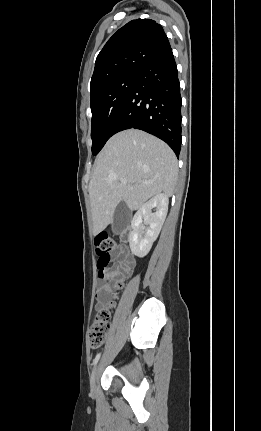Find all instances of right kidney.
<instances>
[{"label":"right kidney","instance_id":"right-kidney-1","mask_svg":"<svg viewBox=\"0 0 261 431\" xmlns=\"http://www.w3.org/2000/svg\"><path fill=\"white\" fill-rule=\"evenodd\" d=\"M169 199L164 193L157 194L147 201L133 217L132 232L129 234V245L132 253L140 258L146 256L153 242L157 239L168 212ZM152 209L156 211L152 213ZM149 227L142 235L141 223Z\"/></svg>","mask_w":261,"mask_h":431}]
</instances>
